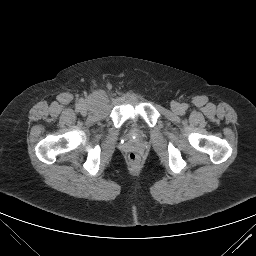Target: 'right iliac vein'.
Returning <instances> with one entry per match:
<instances>
[{
    "instance_id": "obj_1",
    "label": "right iliac vein",
    "mask_w": 256,
    "mask_h": 256,
    "mask_svg": "<svg viewBox=\"0 0 256 256\" xmlns=\"http://www.w3.org/2000/svg\"><path fill=\"white\" fill-rule=\"evenodd\" d=\"M87 111H88V105L83 104L81 106V114L85 115L87 113Z\"/></svg>"
}]
</instances>
